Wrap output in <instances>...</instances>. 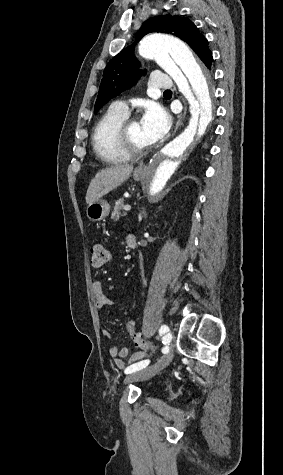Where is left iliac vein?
<instances>
[{
  "label": "left iliac vein",
  "mask_w": 283,
  "mask_h": 475,
  "mask_svg": "<svg viewBox=\"0 0 283 475\" xmlns=\"http://www.w3.org/2000/svg\"><path fill=\"white\" fill-rule=\"evenodd\" d=\"M168 341L172 338V333L168 332L165 337ZM173 358V350L170 347L167 354L162 355L159 360L152 366L139 370L125 377L124 383L128 384L135 381H145L155 376L161 371Z\"/></svg>",
  "instance_id": "obj_1"
}]
</instances>
